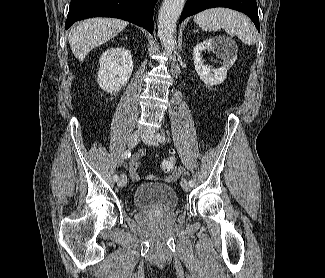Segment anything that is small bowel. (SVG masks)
<instances>
[{"instance_id": "obj_1", "label": "small bowel", "mask_w": 325, "mask_h": 278, "mask_svg": "<svg viewBox=\"0 0 325 278\" xmlns=\"http://www.w3.org/2000/svg\"><path fill=\"white\" fill-rule=\"evenodd\" d=\"M145 155H146V150L141 149V150H139V152L136 155H134L130 159V161L128 163L127 170H128V173L133 181L140 180V174L138 172L139 162H140V159ZM183 173H184L183 170L176 169L175 172L173 173V175L171 177H169V180H177L181 177V175ZM150 177H152V176H150Z\"/></svg>"}]
</instances>
